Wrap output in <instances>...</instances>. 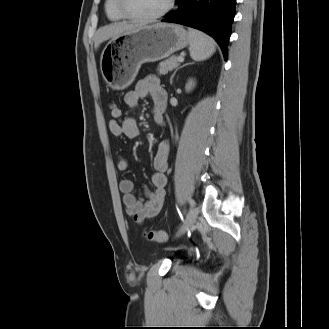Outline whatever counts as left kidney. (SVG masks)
<instances>
[{
    "label": "left kidney",
    "mask_w": 329,
    "mask_h": 329,
    "mask_svg": "<svg viewBox=\"0 0 329 329\" xmlns=\"http://www.w3.org/2000/svg\"><path fill=\"white\" fill-rule=\"evenodd\" d=\"M194 85L195 83L193 82V80H190L186 85V90L190 91L194 87Z\"/></svg>",
    "instance_id": "left-kidney-1"
}]
</instances>
